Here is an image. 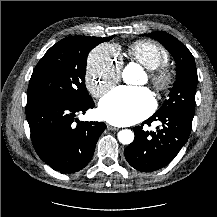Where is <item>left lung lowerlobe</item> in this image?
Wrapping results in <instances>:
<instances>
[{
	"label": "left lung lower lobe",
	"instance_id": "left-lung-lower-lobe-1",
	"mask_svg": "<svg viewBox=\"0 0 217 217\" xmlns=\"http://www.w3.org/2000/svg\"><path fill=\"white\" fill-rule=\"evenodd\" d=\"M194 114L185 111H169L152 115L143 124L160 121L162 127L156 132L143 130V125L134 127L135 139L125 148V158L135 169L152 172L170 163L187 142Z\"/></svg>",
	"mask_w": 217,
	"mask_h": 217
}]
</instances>
